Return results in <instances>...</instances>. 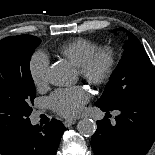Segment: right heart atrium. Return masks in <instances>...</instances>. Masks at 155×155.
I'll return each mask as SVG.
<instances>
[{
    "label": "right heart atrium",
    "instance_id": "1",
    "mask_svg": "<svg viewBox=\"0 0 155 155\" xmlns=\"http://www.w3.org/2000/svg\"><path fill=\"white\" fill-rule=\"evenodd\" d=\"M49 60L43 52H36L29 61V75L36 87H42L47 81Z\"/></svg>",
    "mask_w": 155,
    "mask_h": 155
}]
</instances>
